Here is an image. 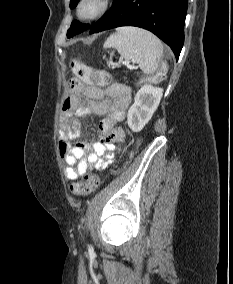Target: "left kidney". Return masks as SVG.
<instances>
[{
    "label": "left kidney",
    "mask_w": 233,
    "mask_h": 284,
    "mask_svg": "<svg viewBox=\"0 0 233 284\" xmlns=\"http://www.w3.org/2000/svg\"><path fill=\"white\" fill-rule=\"evenodd\" d=\"M163 89L145 84L137 92L134 103L128 110L127 123L134 132L141 131L156 111Z\"/></svg>",
    "instance_id": "1"
}]
</instances>
